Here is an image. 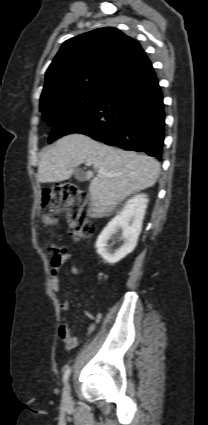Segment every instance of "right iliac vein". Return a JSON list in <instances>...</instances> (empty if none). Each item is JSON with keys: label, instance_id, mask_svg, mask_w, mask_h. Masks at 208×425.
I'll list each match as a JSON object with an SVG mask.
<instances>
[{"label": "right iliac vein", "instance_id": "right-iliac-vein-1", "mask_svg": "<svg viewBox=\"0 0 208 425\" xmlns=\"http://www.w3.org/2000/svg\"><path fill=\"white\" fill-rule=\"evenodd\" d=\"M62 401H63V404L65 406H68L71 403V395H70V386L69 385H67L64 389Z\"/></svg>", "mask_w": 208, "mask_h": 425}]
</instances>
